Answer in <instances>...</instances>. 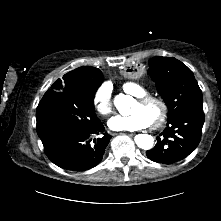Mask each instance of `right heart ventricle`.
<instances>
[{"label": "right heart ventricle", "instance_id": "right-heart-ventricle-1", "mask_svg": "<svg viewBox=\"0 0 221 221\" xmlns=\"http://www.w3.org/2000/svg\"><path fill=\"white\" fill-rule=\"evenodd\" d=\"M123 89L137 98L148 95V91L136 82H125L123 84Z\"/></svg>", "mask_w": 221, "mask_h": 221}]
</instances>
